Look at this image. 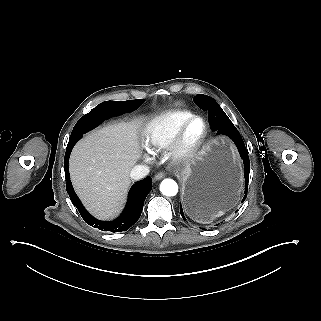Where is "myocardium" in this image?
<instances>
[{
	"mask_svg": "<svg viewBox=\"0 0 321 321\" xmlns=\"http://www.w3.org/2000/svg\"><path fill=\"white\" fill-rule=\"evenodd\" d=\"M200 121L202 131L200 136L193 142L187 143L184 139L186 129L194 122ZM208 136V126L204 118L192 115L183 121L175 130L167 147L168 157L180 164L188 163L193 160L201 151Z\"/></svg>",
	"mask_w": 321,
	"mask_h": 321,
	"instance_id": "f54148a6",
	"label": "myocardium"
}]
</instances>
